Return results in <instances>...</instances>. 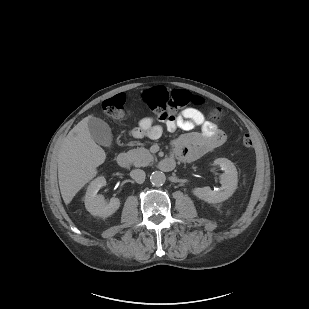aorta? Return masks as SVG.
Masks as SVG:
<instances>
[{
    "label": "aorta",
    "mask_w": 309,
    "mask_h": 309,
    "mask_svg": "<svg viewBox=\"0 0 309 309\" xmlns=\"http://www.w3.org/2000/svg\"><path fill=\"white\" fill-rule=\"evenodd\" d=\"M150 181L154 186H161L166 181V176L162 171H154L150 176Z\"/></svg>",
    "instance_id": "obj_1"
}]
</instances>
